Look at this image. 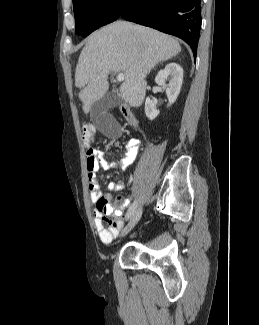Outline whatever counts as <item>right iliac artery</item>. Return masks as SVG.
Returning a JSON list of instances; mask_svg holds the SVG:
<instances>
[{
  "label": "right iliac artery",
  "mask_w": 259,
  "mask_h": 325,
  "mask_svg": "<svg viewBox=\"0 0 259 325\" xmlns=\"http://www.w3.org/2000/svg\"><path fill=\"white\" fill-rule=\"evenodd\" d=\"M137 207V201H134L133 204L129 207L127 213H126V218L129 219L132 214L134 213L135 209Z\"/></svg>",
  "instance_id": "1"
}]
</instances>
